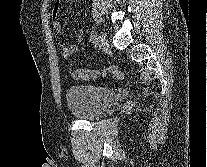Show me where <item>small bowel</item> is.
<instances>
[{
  "label": "small bowel",
  "instance_id": "1",
  "mask_svg": "<svg viewBox=\"0 0 207 167\" xmlns=\"http://www.w3.org/2000/svg\"><path fill=\"white\" fill-rule=\"evenodd\" d=\"M58 14H59V6L57 4L53 10V19H54L53 27L57 33H61L62 32V25L57 20ZM83 37H84L83 31L79 30L76 33V39L78 41H82ZM77 51H78V47L76 45H66L65 43L62 44V51H61L62 56L66 60L72 58L77 53Z\"/></svg>",
  "mask_w": 207,
  "mask_h": 167
}]
</instances>
